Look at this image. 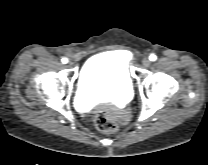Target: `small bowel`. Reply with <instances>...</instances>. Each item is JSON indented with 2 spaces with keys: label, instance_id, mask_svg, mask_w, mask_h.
Listing matches in <instances>:
<instances>
[{
  "label": "small bowel",
  "instance_id": "1",
  "mask_svg": "<svg viewBox=\"0 0 208 165\" xmlns=\"http://www.w3.org/2000/svg\"><path fill=\"white\" fill-rule=\"evenodd\" d=\"M122 56L124 57V59L126 60V55L122 52Z\"/></svg>",
  "mask_w": 208,
  "mask_h": 165
}]
</instances>
